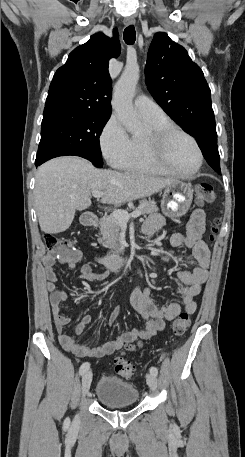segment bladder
<instances>
[{
  "mask_svg": "<svg viewBox=\"0 0 245 457\" xmlns=\"http://www.w3.org/2000/svg\"><path fill=\"white\" fill-rule=\"evenodd\" d=\"M96 396L106 406L136 404L139 398L135 385L108 375L97 382Z\"/></svg>",
  "mask_w": 245,
  "mask_h": 457,
  "instance_id": "obj_1",
  "label": "bladder"
}]
</instances>
